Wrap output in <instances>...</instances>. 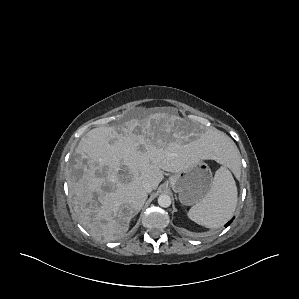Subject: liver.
<instances>
[{"label":"liver","mask_w":299,"mask_h":299,"mask_svg":"<svg viewBox=\"0 0 299 299\" xmlns=\"http://www.w3.org/2000/svg\"><path fill=\"white\" fill-rule=\"evenodd\" d=\"M235 150L223 132L197 134L182 118L161 112L94 128L81 138L68 174L76 218L91 235L115 241L147 199L144 180L157 189L163 171H185L205 159L224 163Z\"/></svg>","instance_id":"1"}]
</instances>
